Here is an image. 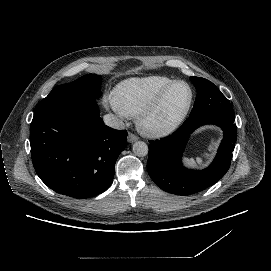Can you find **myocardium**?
I'll return each instance as SVG.
<instances>
[{
    "mask_svg": "<svg viewBox=\"0 0 271 271\" xmlns=\"http://www.w3.org/2000/svg\"><path fill=\"white\" fill-rule=\"evenodd\" d=\"M179 83H185L191 89V98L187 107L182 112V114L178 116L171 123L167 125H163V126L153 125L151 123L152 118L161 109V107L163 106L167 96L169 95L173 87ZM194 101H195V89L193 85L189 81L184 80V79L174 80L159 94V96L155 99V101L147 109H145L144 112L140 115L139 122H140V126L142 130L146 134L150 136H154V137H161V136H165L174 132L176 129H178L181 126V124L188 117L193 107Z\"/></svg>",
    "mask_w": 271,
    "mask_h": 271,
    "instance_id": "myocardium-1",
    "label": "myocardium"
}]
</instances>
